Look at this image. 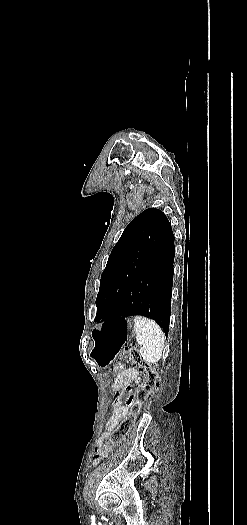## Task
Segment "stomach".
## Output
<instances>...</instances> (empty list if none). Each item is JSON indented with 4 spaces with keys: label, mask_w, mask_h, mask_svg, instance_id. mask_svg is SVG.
<instances>
[{
    "label": "stomach",
    "mask_w": 247,
    "mask_h": 525,
    "mask_svg": "<svg viewBox=\"0 0 247 525\" xmlns=\"http://www.w3.org/2000/svg\"><path fill=\"white\" fill-rule=\"evenodd\" d=\"M135 336L134 320L125 318L101 324L93 331L91 357L98 368H107L122 346Z\"/></svg>",
    "instance_id": "stomach-1"
}]
</instances>
